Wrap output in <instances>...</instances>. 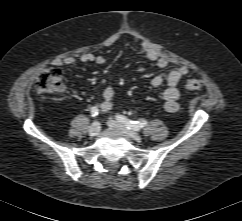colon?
<instances>
[{
	"label": "colon",
	"instance_id": "obj_1",
	"mask_svg": "<svg viewBox=\"0 0 242 221\" xmlns=\"http://www.w3.org/2000/svg\"><path fill=\"white\" fill-rule=\"evenodd\" d=\"M63 84V72L59 67H49L43 69L36 80V88L39 93H55L60 91ZM202 86L198 78H190L185 82V87L189 90H198Z\"/></svg>",
	"mask_w": 242,
	"mask_h": 221
}]
</instances>
